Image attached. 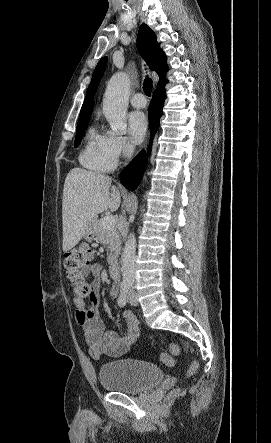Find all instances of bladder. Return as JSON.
<instances>
[{
    "label": "bladder",
    "instance_id": "31cf9c89",
    "mask_svg": "<svg viewBox=\"0 0 271 443\" xmlns=\"http://www.w3.org/2000/svg\"><path fill=\"white\" fill-rule=\"evenodd\" d=\"M162 370L149 362L122 358L103 364L99 369L101 385L110 391L136 393L158 385Z\"/></svg>",
    "mask_w": 271,
    "mask_h": 443
}]
</instances>
